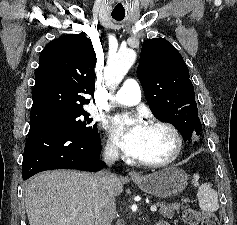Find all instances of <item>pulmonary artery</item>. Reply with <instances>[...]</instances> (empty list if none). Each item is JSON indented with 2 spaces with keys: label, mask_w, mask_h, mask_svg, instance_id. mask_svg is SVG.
I'll use <instances>...</instances> for the list:
<instances>
[{
  "label": "pulmonary artery",
  "mask_w": 237,
  "mask_h": 225,
  "mask_svg": "<svg viewBox=\"0 0 237 225\" xmlns=\"http://www.w3.org/2000/svg\"><path fill=\"white\" fill-rule=\"evenodd\" d=\"M141 99V89L137 81L127 79L122 88L114 95L111 101L112 106H132Z\"/></svg>",
  "instance_id": "1"
}]
</instances>
